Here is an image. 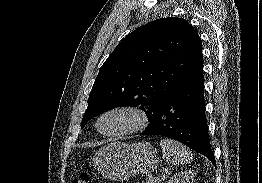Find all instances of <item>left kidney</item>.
<instances>
[{
    "instance_id": "obj_1",
    "label": "left kidney",
    "mask_w": 262,
    "mask_h": 183,
    "mask_svg": "<svg viewBox=\"0 0 262 183\" xmlns=\"http://www.w3.org/2000/svg\"><path fill=\"white\" fill-rule=\"evenodd\" d=\"M194 176L192 172L189 171H183L178 174L173 175L167 183H193Z\"/></svg>"
}]
</instances>
